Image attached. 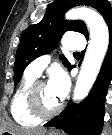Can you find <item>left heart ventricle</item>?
<instances>
[{
    "label": "left heart ventricle",
    "instance_id": "obj_1",
    "mask_svg": "<svg viewBox=\"0 0 112 135\" xmlns=\"http://www.w3.org/2000/svg\"><path fill=\"white\" fill-rule=\"evenodd\" d=\"M39 100L41 107L46 111L53 110L60 103V101L53 95L47 84L40 88Z\"/></svg>",
    "mask_w": 112,
    "mask_h": 135
}]
</instances>
